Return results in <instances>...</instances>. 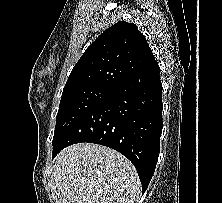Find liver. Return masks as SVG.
I'll use <instances>...</instances> for the list:
<instances>
[{
    "instance_id": "1",
    "label": "liver",
    "mask_w": 222,
    "mask_h": 203,
    "mask_svg": "<svg viewBox=\"0 0 222 203\" xmlns=\"http://www.w3.org/2000/svg\"><path fill=\"white\" fill-rule=\"evenodd\" d=\"M56 203H136L141 182L132 163L105 146L79 143L55 158Z\"/></svg>"
}]
</instances>
